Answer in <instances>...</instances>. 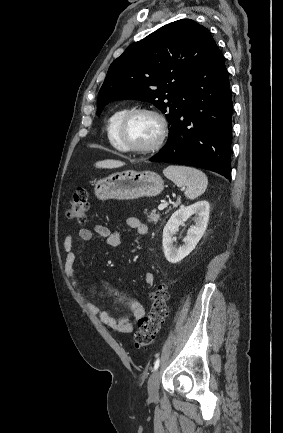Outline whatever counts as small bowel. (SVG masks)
I'll return each instance as SVG.
<instances>
[{
  "instance_id": "c3829d8e",
  "label": "small bowel",
  "mask_w": 283,
  "mask_h": 433,
  "mask_svg": "<svg viewBox=\"0 0 283 433\" xmlns=\"http://www.w3.org/2000/svg\"><path fill=\"white\" fill-rule=\"evenodd\" d=\"M126 224L129 228L134 229L140 235L148 233V227L136 217L126 219ZM78 237L83 241H92L96 238L104 240L111 247H116L121 243V233L118 230L111 231L108 227L97 224L93 229L81 228L78 231ZM74 238L69 234L63 242L65 252L64 272L71 282L77 295L85 303L87 309L96 315L100 321L109 329L117 333H130L134 330L135 325L145 316V308L136 299L130 298L125 294H118V298L126 304L131 314L129 316L116 319L109 312L95 304L86 294L83 285L78 281L75 270V253L73 252ZM155 281V276L152 272H147L144 276V282L151 286Z\"/></svg>"
}]
</instances>
